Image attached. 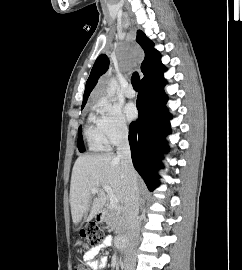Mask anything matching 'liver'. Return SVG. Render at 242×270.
<instances>
[{
    "instance_id": "obj_1",
    "label": "liver",
    "mask_w": 242,
    "mask_h": 270,
    "mask_svg": "<svg viewBox=\"0 0 242 270\" xmlns=\"http://www.w3.org/2000/svg\"><path fill=\"white\" fill-rule=\"evenodd\" d=\"M137 183L139 181L136 173ZM111 187L114 195L124 203L126 184L120 159L113 153L83 155L75 161L70 185V206L75 226L90 221L104 207L107 196L101 188ZM97 186V192L92 188Z\"/></svg>"
}]
</instances>
